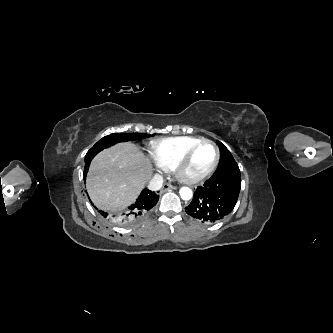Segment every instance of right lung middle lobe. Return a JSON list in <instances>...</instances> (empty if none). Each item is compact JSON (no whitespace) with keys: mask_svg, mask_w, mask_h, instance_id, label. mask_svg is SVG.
Masks as SVG:
<instances>
[{"mask_svg":"<svg viewBox=\"0 0 333 333\" xmlns=\"http://www.w3.org/2000/svg\"><path fill=\"white\" fill-rule=\"evenodd\" d=\"M149 134L141 133H114L108 136L103 137L99 140L89 151L90 155H96L101 150L108 148L118 142H124L129 140H137L140 138L149 137Z\"/></svg>","mask_w":333,"mask_h":333,"instance_id":"obj_1","label":"right lung middle lobe"}]
</instances>
